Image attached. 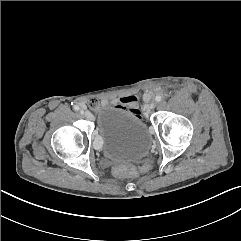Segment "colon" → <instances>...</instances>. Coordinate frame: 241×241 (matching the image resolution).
Masks as SVG:
<instances>
[{"instance_id":"5ec220e1","label":"colon","mask_w":241,"mask_h":241,"mask_svg":"<svg viewBox=\"0 0 241 241\" xmlns=\"http://www.w3.org/2000/svg\"><path fill=\"white\" fill-rule=\"evenodd\" d=\"M88 107L91 110H96L98 108V102L95 100H92L89 102ZM115 173L118 176H134L137 173L136 168L133 165L125 164L117 167L115 169Z\"/></svg>"}]
</instances>
